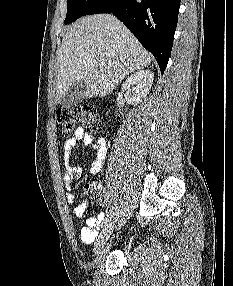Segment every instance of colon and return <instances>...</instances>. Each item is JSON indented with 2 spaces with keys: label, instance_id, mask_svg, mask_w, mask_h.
Segmentation results:
<instances>
[{
  "label": "colon",
  "instance_id": "colon-1",
  "mask_svg": "<svg viewBox=\"0 0 233 286\" xmlns=\"http://www.w3.org/2000/svg\"><path fill=\"white\" fill-rule=\"evenodd\" d=\"M56 119L62 128L63 134L66 136L70 135L77 126L82 127L89 133H96L100 123L97 112L90 107L58 110ZM89 188V186L86 187V189Z\"/></svg>",
  "mask_w": 233,
  "mask_h": 286
}]
</instances>
